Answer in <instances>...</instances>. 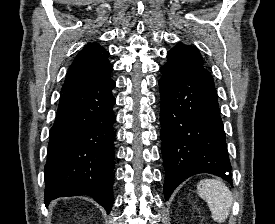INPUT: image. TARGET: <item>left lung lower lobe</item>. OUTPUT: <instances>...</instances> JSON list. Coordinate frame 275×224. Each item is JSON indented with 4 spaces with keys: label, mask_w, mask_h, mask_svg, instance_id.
Instances as JSON below:
<instances>
[{
    "label": "left lung lower lobe",
    "mask_w": 275,
    "mask_h": 224,
    "mask_svg": "<svg viewBox=\"0 0 275 224\" xmlns=\"http://www.w3.org/2000/svg\"><path fill=\"white\" fill-rule=\"evenodd\" d=\"M160 71L165 199L184 179L199 173L217 175L232 186L214 84L197 73L170 75Z\"/></svg>",
    "instance_id": "0a47b994"
}]
</instances>
